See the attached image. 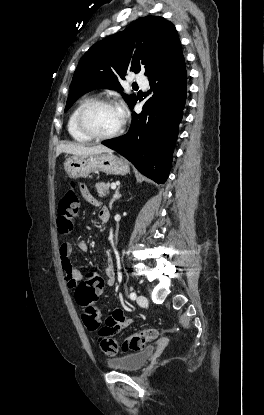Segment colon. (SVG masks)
I'll return each instance as SVG.
<instances>
[{"label":"colon","instance_id":"1","mask_svg":"<svg viewBox=\"0 0 264 415\" xmlns=\"http://www.w3.org/2000/svg\"><path fill=\"white\" fill-rule=\"evenodd\" d=\"M79 200L73 190L67 191L58 208V227L64 236H70L75 230V219L79 211ZM102 286L101 279L90 275L79 284L75 298L82 309V317L89 331L98 333V342L102 352L106 355H116L120 350L123 352H136L147 345L148 342L157 338L158 332L154 328H146L137 332L119 343L102 325V314L96 305L98 292Z\"/></svg>","mask_w":264,"mask_h":415}]
</instances>
